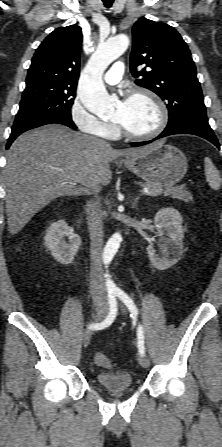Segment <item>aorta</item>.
Instances as JSON below:
<instances>
[{
	"label": "aorta",
	"mask_w": 222,
	"mask_h": 447,
	"mask_svg": "<svg viewBox=\"0 0 222 447\" xmlns=\"http://www.w3.org/2000/svg\"><path fill=\"white\" fill-rule=\"evenodd\" d=\"M129 46V38L119 34L101 43L90 58L82 76L79 98L84 107L97 116L108 114L115 100L107 93L102 75L110 63L120 57ZM121 235L115 233L108 240L104 249V259L109 262L119 249Z\"/></svg>",
	"instance_id": "obj_1"
}]
</instances>
